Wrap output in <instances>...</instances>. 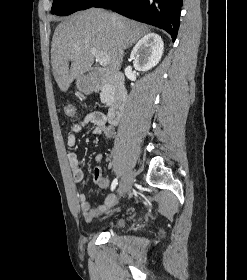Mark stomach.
Here are the masks:
<instances>
[{"label":"stomach","mask_w":247,"mask_h":280,"mask_svg":"<svg viewBox=\"0 0 247 280\" xmlns=\"http://www.w3.org/2000/svg\"><path fill=\"white\" fill-rule=\"evenodd\" d=\"M77 88L82 92H88L91 90V85L87 83L83 77H79L76 82Z\"/></svg>","instance_id":"obj_1"}]
</instances>
